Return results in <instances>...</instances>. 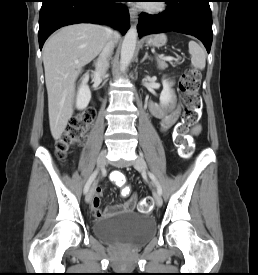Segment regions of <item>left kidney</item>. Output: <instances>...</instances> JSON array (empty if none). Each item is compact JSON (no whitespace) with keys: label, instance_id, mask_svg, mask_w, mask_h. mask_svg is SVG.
Here are the masks:
<instances>
[{"label":"left kidney","instance_id":"1","mask_svg":"<svg viewBox=\"0 0 258 275\" xmlns=\"http://www.w3.org/2000/svg\"><path fill=\"white\" fill-rule=\"evenodd\" d=\"M163 90L160 95V103L162 105H168L172 101V90L170 83L164 79L162 80Z\"/></svg>","mask_w":258,"mask_h":275}]
</instances>
